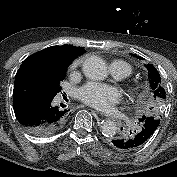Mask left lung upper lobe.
<instances>
[{"mask_svg":"<svg viewBox=\"0 0 177 177\" xmlns=\"http://www.w3.org/2000/svg\"><path fill=\"white\" fill-rule=\"evenodd\" d=\"M145 66L149 70L150 87L152 92V103L151 107L149 108L150 110L148 116H152L156 119H159L161 117L160 113L162 110V106L166 100V91L164 89V85L161 81L157 69L152 64H147Z\"/></svg>","mask_w":177,"mask_h":177,"instance_id":"obj_1","label":"left lung upper lobe"}]
</instances>
